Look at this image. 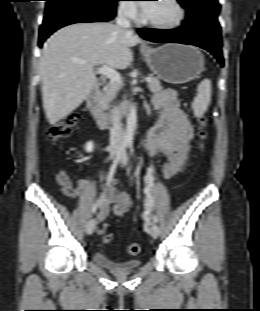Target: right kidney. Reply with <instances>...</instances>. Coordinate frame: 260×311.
I'll return each instance as SVG.
<instances>
[{
  "instance_id": "ca27d5eb",
  "label": "right kidney",
  "mask_w": 260,
  "mask_h": 311,
  "mask_svg": "<svg viewBox=\"0 0 260 311\" xmlns=\"http://www.w3.org/2000/svg\"><path fill=\"white\" fill-rule=\"evenodd\" d=\"M93 148H94L93 142H88V143L85 145V150H86V152H92V151H93Z\"/></svg>"
}]
</instances>
